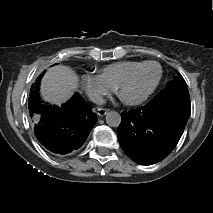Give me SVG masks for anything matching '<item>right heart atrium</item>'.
<instances>
[{"instance_id": "1", "label": "right heart atrium", "mask_w": 213, "mask_h": 213, "mask_svg": "<svg viewBox=\"0 0 213 213\" xmlns=\"http://www.w3.org/2000/svg\"><path fill=\"white\" fill-rule=\"evenodd\" d=\"M82 84L88 96L97 103L103 102L104 98L114 91L100 75L87 73L82 77Z\"/></svg>"}]
</instances>
